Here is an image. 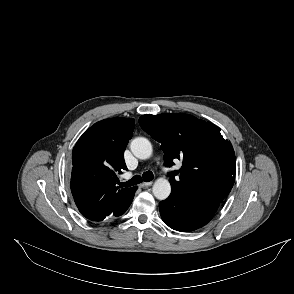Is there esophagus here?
Returning <instances> with one entry per match:
<instances>
[{
	"label": "esophagus",
	"mask_w": 294,
	"mask_h": 294,
	"mask_svg": "<svg viewBox=\"0 0 294 294\" xmlns=\"http://www.w3.org/2000/svg\"><path fill=\"white\" fill-rule=\"evenodd\" d=\"M152 184H153L152 181H150V182H143V183L140 184V187H148V186H151Z\"/></svg>",
	"instance_id": "34e87169"
}]
</instances>
